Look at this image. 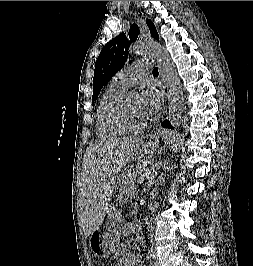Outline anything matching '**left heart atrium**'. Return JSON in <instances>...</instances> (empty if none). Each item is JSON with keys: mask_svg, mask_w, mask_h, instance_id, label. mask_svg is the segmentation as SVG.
Masks as SVG:
<instances>
[{"mask_svg": "<svg viewBox=\"0 0 253 266\" xmlns=\"http://www.w3.org/2000/svg\"><path fill=\"white\" fill-rule=\"evenodd\" d=\"M139 100L145 117H151L159 111L162 103V95L154 88L146 86L139 94Z\"/></svg>", "mask_w": 253, "mask_h": 266, "instance_id": "1", "label": "left heart atrium"}]
</instances>
